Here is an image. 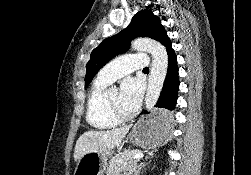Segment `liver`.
I'll return each mask as SVG.
<instances>
[{"instance_id": "6515ba94", "label": "liver", "mask_w": 251, "mask_h": 175, "mask_svg": "<svg viewBox=\"0 0 251 175\" xmlns=\"http://www.w3.org/2000/svg\"><path fill=\"white\" fill-rule=\"evenodd\" d=\"M131 125L124 127H116L109 131H84L78 137L74 149V159L79 161L84 153L88 151H112L114 147L121 145L124 137H126Z\"/></svg>"}]
</instances>
